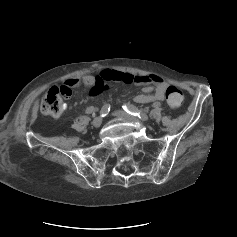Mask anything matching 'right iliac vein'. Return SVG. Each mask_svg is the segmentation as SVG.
I'll use <instances>...</instances> for the list:
<instances>
[{"instance_id":"obj_1","label":"right iliac vein","mask_w":237,"mask_h":237,"mask_svg":"<svg viewBox=\"0 0 237 237\" xmlns=\"http://www.w3.org/2000/svg\"><path fill=\"white\" fill-rule=\"evenodd\" d=\"M101 123H102V118H101V117H96V118H94V120L92 121V125H93L95 128L100 127Z\"/></svg>"}]
</instances>
